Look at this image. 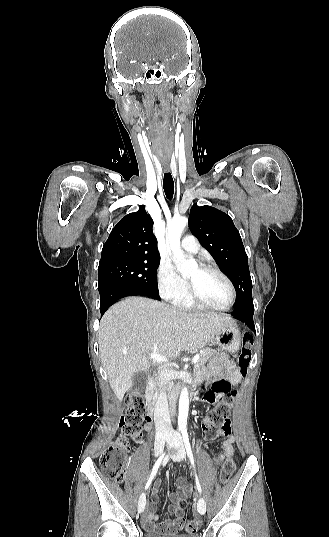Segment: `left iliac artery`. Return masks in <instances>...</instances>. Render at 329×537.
I'll return each instance as SVG.
<instances>
[{"label":"left iliac artery","mask_w":329,"mask_h":537,"mask_svg":"<svg viewBox=\"0 0 329 537\" xmlns=\"http://www.w3.org/2000/svg\"><path fill=\"white\" fill-rule=\"evenodd\" d=\"M182 436H183V441H184V444H185V448H186V451H187L189 460H190L191 465H192V467H193V469H194V471H195L196 488H197L198 492L201 494V493H202V489H201V485H200L198 476H197V474H196L195 464H194V457H193V453H192V450H191V446H190V442H189V437H188V433H187V429H186V428H183V429H182Z\"/></svg>","instance_id":"obj_1"}]
</instances>
